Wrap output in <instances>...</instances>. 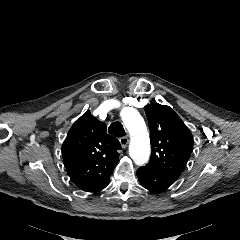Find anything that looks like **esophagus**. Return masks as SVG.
Listing matches in <instances>:
<instances>
[{
    "label": "esophagus",
    "instance_id": "obj_1",
    "mask_svg": "<svg viewBox=\"0 0 240 240\" xmlns=\"http://www.w3.org/2000/svg\"><path fill=\"white\" fill-rule=\"evenodd\" d=\"M129 139L127 137H121L120 138V144L122 148H126L128 146Z\"/></svg>",
    "mask_w": 240,
    "mask_h": 240
}]
</instances>
